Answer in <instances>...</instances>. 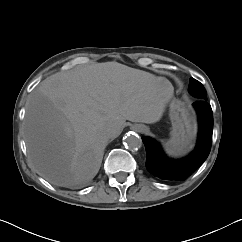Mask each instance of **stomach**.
Here are the masks:
<instances>
[{
	"label": "stomach",
	"instance_id": "0dacf381",
	"mask_svg": "<svg viewBox=\"0 0 242 242\" xmlns=\"http://www.w3.org/2000/svg\"><path fill=\"white\" fill-rule=\"evenodd\" d=\"M169 116L172 130L171 139L166 143V147L176 154H182L192 143L195 134L194 119L188 108L175 98L170 101Z\"/></svg>",
	"mask_w": 242,
	"mask_h": 242
}]
</instances>
